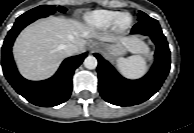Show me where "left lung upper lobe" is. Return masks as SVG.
I'll use <instances>...</instances> for the list:
<instances>
[{"label":"left lung upper lobe","mask_w":194,"mask_h":133,"mask_svg":"<svg viewBox=\"0 0 194 133\" xmlns=\"http://www.w3.org/2000/svg\"><path fill=\"white\" fill-rule=\"evenodd\" d=\"M149 16L147 14H145L144 12L142 11H139V14H138V21H141V20H144L146 18H148Z\"/></svg>","instance_id":"left-lung-upper-lobe-1"}]
</instances>
